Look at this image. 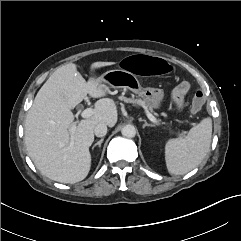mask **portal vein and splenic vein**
<instances>
[{"label":"portal vein and splenic vein","instance_id":"portal-vein-and-splenic-vein-1","mask_svg":"<svg viewBox=\"0 0 241 241\" xmlns=\"http://www.w3.org/2000/svg\"><path fill=\"white\" fill-rule=\"evenodd\" d=\"M92 115H93V109L92 108H87V109L83 110L82 113H81L82 118H89ZM146 115H147L148 119L150 121H152L154 124H156V125L160 124L159 121L148 111H146ZM75 130H76V125L73 124L70 128L71 135L74 134Z\"/></svg>","mask_w":241,"mask_h":241}]
</instances>
